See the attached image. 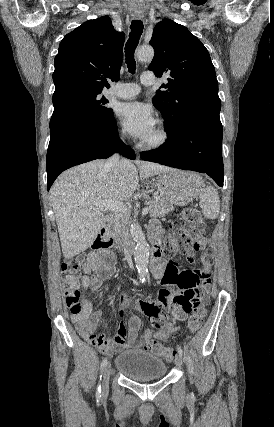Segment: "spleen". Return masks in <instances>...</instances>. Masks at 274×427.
<instances>
[{
    "mask_svg": "<svg viewBox=\"0 0 274 427\" xmlns=\"http://www.w3.org/2000/svg\"><path fill=\"white\" fill-rule=\"evenodd\" d=\"M196 194H200V202L202 206V214L209 219H215L220 212V200L217 190L213 186H205L202 178L198 180L196 186Z\"/></svg>",
    "mask_w": 274,
    "mask_h": 427,
    "instance_id": "3e777b00",
    "label": "spleen"
}]
</instances>
